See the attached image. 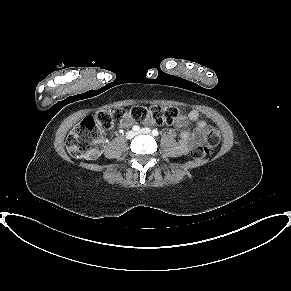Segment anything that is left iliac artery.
Returning <instances> with one entry per match:
<instances>
[{
    "label": "left iliac artery",
    "instance_id": "left-iliac-artery-1",
    "mask_svg": "<svg viewBox=\"0 0 291 291\" xmlns=\"http://www.w3.org/2000/svg\"><path fill=\"white\" fill-rule=\"evenodd\" d=\"M158 134H159V132H158L157 130L154 129V130L152 131V135H153V136H158Z\"/></svg>",
    "mask_w": 291,
    "mask_h": 291
}]
</instances>
